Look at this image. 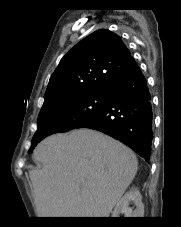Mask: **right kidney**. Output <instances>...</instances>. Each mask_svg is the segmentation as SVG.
<instances>
[{
    "mask_svg": "<svg viewBox=\"0 0 181 227\" xmlns=\"http://www.w3.org/2000/svg\"><path fill=\"white\" fill-rule=\"evenodd\" d=\"M130 203L135 205V209L129 207ZM124 214L125 217H143L144 205L142 203V196L139 190L132 187L124 196L117 202L112 217H119Z\"/></svg>",
    "mask_w": 181,
    "mask_h": 227,
    "instance_id": "obj_1",
    "label": "right kidney"
}]
</instances>
